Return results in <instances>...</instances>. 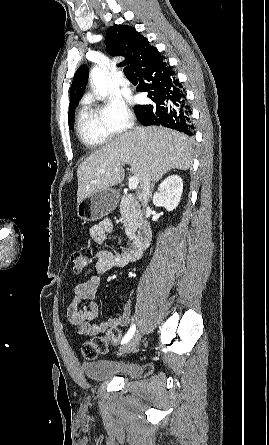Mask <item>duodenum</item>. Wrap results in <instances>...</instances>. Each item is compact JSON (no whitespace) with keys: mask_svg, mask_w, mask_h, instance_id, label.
Segmentation results:
<instances>
[{"mask_svg":"<svg viewBox=\"0 0 269 445\" xmlns=\"http://www.w3.org/2000/svg\"><path fill=\"white\" fill-rule=\"evenodd\" d=\"M152 238V227L148 221H144L140 224L137 235L132 241V246L136 251H142L145 249Z\"/></svg>","mask_w":269,"mask_h":445,"instance_id":"duodenum-1","label":"duodenum"}]
</instances>
